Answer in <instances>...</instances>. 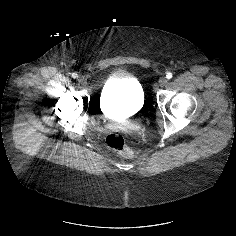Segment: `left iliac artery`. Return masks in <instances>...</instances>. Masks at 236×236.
<instances>
[{
    "label": "left iliac artery",
    "mask_w": 236,
    "mask_h": 236,
    "mask_svg": "<svg viewBox=\"0 0 236 236\" xmlns=\"http://www.w3.org/2000/svg\"><path fill=\"white\" fill-rule=\"evenodd\" d=\"M172 76H173V74H172L171 72H168V73L166 74V78H167V79H171Z\"/></svg>",
    "instance_id": "obj_1"
}]
</instances>
